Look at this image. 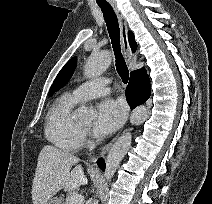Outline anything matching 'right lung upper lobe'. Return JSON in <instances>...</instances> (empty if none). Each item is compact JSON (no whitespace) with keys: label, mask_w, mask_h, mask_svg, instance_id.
I'll use <instances>...</instances> for the list:
<instances>
[{"label":"right lung upper lobe","mask_w":212,"mask_h":204,"mask_svg":"<svg viewBox=\"0 0 212 204\" xmlns=\"http://www.w3.org/2000/svg\"><path fill=\"white\" fill-rule=\"evenodd\" d=\"M128 40H129L130 47L132 48V51L134 52L137 48V43L135 42L134 35L131 31L128 32Z\"/></svg>","instance_id":"obj_1"}]
</instances>
